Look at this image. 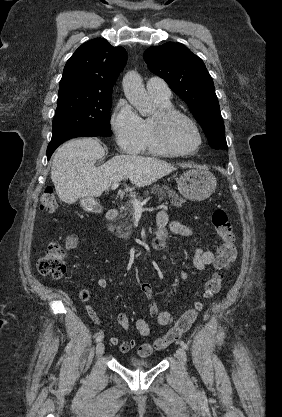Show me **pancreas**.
<instances>
[{"label": "pancreas", "mask_w": 282, "mask_h": 417, "mask_svg": "<svg viewBox=\"0 0 282 417\" xmlns=\"http://www.w3.org/2000/svg\"><path fill=\"white\" fill-rule=\"evenodd\" d=\"M150 190L153 194H159V200H164V198L169 196V200H166V202H171L173 206H182L183 202H186L185 198L176 194V190H172V188L165 186V184H162V186L154 184V186H151ZM144 194H149V190H144ZM141 198L142 196H138L137 200H141ZM121 211L122 215H119L120 221L115 229L119 239H125V241H128V239H130V235L133 233L132 215H134L135 209L132 204V200L127 202V204H124V206H121Z\"/></svg>", "instance_id": "obj_1"}]
</instances>
